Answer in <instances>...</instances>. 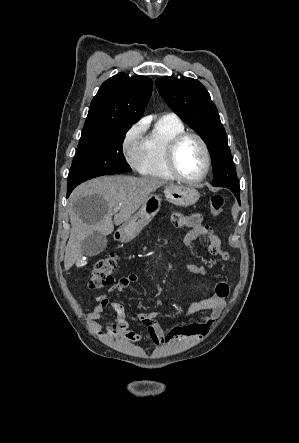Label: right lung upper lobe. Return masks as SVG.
Masks as SVG:
<instances>
[{
    "label": "right lung upper lobe",
    "instance_id": "cb5924a9",
    "mask_svg": "<svg viewBox=\"0 0 299 443\" xmlns=\"http://www.w3.org/2000/svg\"><path fill=\"white\" fill-rule=\"evenodd\" d=\"M152 92L145 76L125 73L106 80L93 98L82 133L112 125L134 124L144 113Z\"/></svg>",
    "mask_w": 299,
    "mask_h": 443
}]
</instances>
